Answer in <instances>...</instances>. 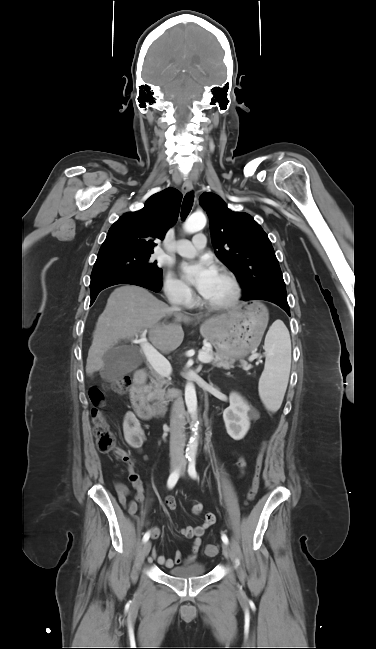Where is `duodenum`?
Listing matches in <instances>:
<instances>
[{"instance_id":"1","label":"duodenum","mask_w":376,"mask_h":649,"mask_svg":"<svg viewBox=\"0 0 376 649\" xmlns=\"http://www.w3.org/2000/svg\"><path fill=\"white\" fill-rule=\"evenodd\" d=\"M146 380L147 372L144 369L137 370L133 376V382L129 393L135 413L142 418H150L161 413L166 400H176L182 396L181 390H175L171 394H166L163 401H158L154 405H149L145 402L143 396V386Z\"/></svg>"}]
</instances>
